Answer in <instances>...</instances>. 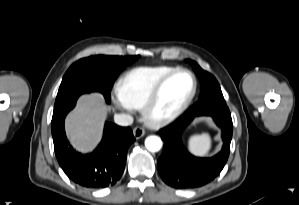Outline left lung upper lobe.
<instances>
[{
    "label": "left lung upper lobe",
    "mask_w": 299,
    "mask_h": 205,
    "mask_svg": "<svg viewBox=\"0 0 299 205\" xmlns=\"http://www.w3.org/2000/svg\"><path fill=\"white\" fill-rule=\"evenodd\" d=\"M186 61L194 68L202 85L199 100L191 108L193 110H199L215 105H226L221 88L215 77L202 70L196 62L192 60Z\"/></svg>",
    "instance_id": "5c2ea615"
}]
</instances>
